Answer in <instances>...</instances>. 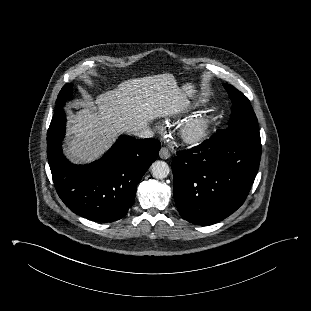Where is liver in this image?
Masks as SVG:
<instances>
[{
	"mask_svg": "<svg viewBox=\"0 0 311 311\" xmlns=\"http://www.w3.org/2000/svg\"><path fill=\"white\" fill-rule=\"evenodd\" d=\"M188 106L186 93L170 73L124 80L70 115L67 156L76 163L92 161L118 133H134L154 119L178 115Z\"/></svg>",
	"mask_w": 311,
	"mask_h": 311,
	"instance_id": "1",
	"label": "liver"
}]
</instances>
